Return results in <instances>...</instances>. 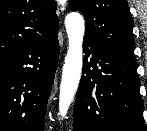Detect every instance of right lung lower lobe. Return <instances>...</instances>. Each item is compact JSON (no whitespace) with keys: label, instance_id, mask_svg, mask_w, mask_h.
<instances>
[{"label":"right lung lower lobe","instance_id":"1","mask_svg":"<svg viewBox=\"0 0 147 131\" xmlns=\"http://www.w3.org/2000/svg\"><path fill=\"white\" fill-rule=\"evenodd\" d=\"M57 34L0 57V131H44L59 57Z\"/></svg>","mask_w":147,"mask_h":131}]
</instances>
